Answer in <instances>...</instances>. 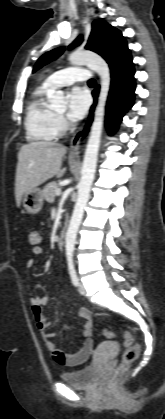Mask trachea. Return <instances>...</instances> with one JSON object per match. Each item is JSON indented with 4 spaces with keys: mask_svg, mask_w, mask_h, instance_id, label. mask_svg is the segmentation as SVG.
<instances>
[{
    "mask_svg": "<svg viewBox=\"0 0 165 419\" xmlns=\"http://www.w3.org/2000/svg\"><path fill=\"white\" fill-rule=\"evenodd\" d=\"M96 83V81L94 80V79H90L89 81H88V84L89 85H94Z\"/></svg>",
    "mask_w": 165,
    "mask_h": 419,
    "instance_id": "obj_1",
    "label": "trachea"
}]
</instances>
